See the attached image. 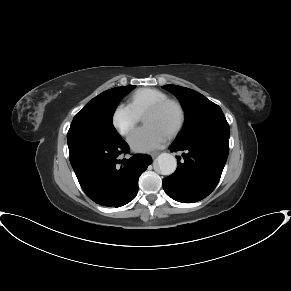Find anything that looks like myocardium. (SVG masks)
I'll list each match as a JSON object with an SVG mask.
<instances>
[{
  "label": "myocardium",
  "mask_w": 291,
  "mask_h": 291,
  "mask_svg": "<svg viewBox=\"0 0 291 291\" xmlns=\"http://www.w3.org/2000/svg\"><path fill=\"white\" fill-rule=\"evenodd\" d=\"M168 106L174 107L176 112H177V121H176L175 125L173 126V128L169 132L170 135H175L182 129V127L184 126V123H185V111H184L182 105L177 100L166 98V99L160 100L156 103L149 105L145 109V111L142 115V119H143L145 114L150 113V112L161 111Z\"/></svg>",
  "instance_id": "myocardium-1"
}]
</instances>
